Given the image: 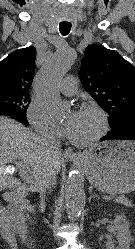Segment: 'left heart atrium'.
<instances>
[{
	"instance_id": "1",
	"label": "left heart atrium",
	"mask_w": 135,
	"mask_h": 249,
	"mask_svg": "<svg viewBox=\"0 0 135 249\" xmlns=\"http://www.w3.org/2000/svg\"><path fill=\"white\" fill-rule=\"evenodd\" d=\"M78 115H79V112H74V113L71 115V117H70V119L68 120L67 125H66L68 131H69V130L73 127V125L75 124Z\"/></svg>"
}]
</instances>
